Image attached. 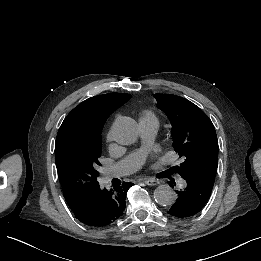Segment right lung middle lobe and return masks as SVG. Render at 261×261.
I'll return each instance as SVG.
<instances>
[{
    "label": "right lung middle lobe",
    "instance_id": "obj_1",
    "mask_svg": "<svg viewBox=\"0 0 261 261\" xmlns=\"http://www.w3.org/2000/svg\"><path fill=\"white\" fill-rule=\"evenodd\" d=\"M101 135L74 126L57 136L55 161L67 203L81 198L98 184Z\"/></svg>",
    "mask_w": 261,
    "mask_h": 261
}]
</instances>
